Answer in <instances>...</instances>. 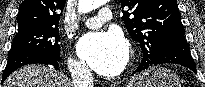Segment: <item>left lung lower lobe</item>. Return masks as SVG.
<instances>
[{"label":"left lung lower lobe","mask_w":205,"mask_h":87,"mask_svg":"<svg viewBox=\"0 0 205 87\" xmlns=\"http://www.w3.org/2000/svg\"><path fill=\"white\" fill-rule=\"evenodd\" d=\"M164 63L180 64L196 73V65L191 57L189 45L184 35L176 36L166 41L159 55L152 60H142L134 73L140 72L149 66Z\"/></svg>","instance_id":"obj_1"}]
</instances>
